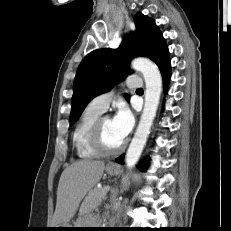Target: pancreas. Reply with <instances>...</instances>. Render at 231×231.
<instances>
[{
  "label": "pancreas",
  "mask_w": 231,
  "mask_h": 231,
  "mask_svg": "<svg viewBox=\"0 0 231 231\" xmlns=\"http://www.w3.org/2000/svg\"><path fill=\"white\" fill-rule=\"evenodd\" d=\"M106 199V191L104 188H95L92 190L89 195L86 198V204L89 207H96L99 206L103 200ZM87 219H83L85 221V224H87Z\"/></svg>",
  "instance_id": "1"
}]
</instances>
